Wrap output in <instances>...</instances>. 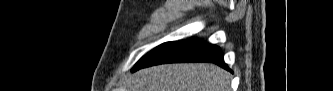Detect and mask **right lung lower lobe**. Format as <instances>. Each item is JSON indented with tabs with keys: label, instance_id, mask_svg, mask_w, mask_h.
Instances as JSON below:
<instances>
[{
	"label": "right lung lower lobe",
	"instance_id": "1",
	"mask_svg": "<svg viewBox=\"0 0 333 91\" xmlns=\"http://www.w3.org/2000/svg\"><path fill=\"white\" fill-rule=\"evenodd\" d=\"M177 62H213L231 71L224 63L219 47L196 38H189L166 42L154 48L136 63L132 72L153 65Z\"/></svg>",
	"mask_w": 333,
	"mask_h": 91
}]
</instances>
